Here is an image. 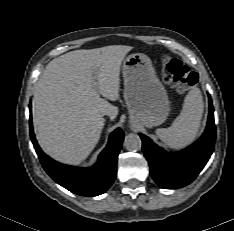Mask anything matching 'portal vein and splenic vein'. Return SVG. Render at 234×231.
Here are the masks:
<instances>
[{
    "instance_id": "obj_1",
    "label": "portal vein and splenic vein",
    "mask_w": 234,
    "mask_h": 231,
    "mask_svg": "<svg viewBox=\"0 0 234 231\" xmlns=\"http://www.w3.org/2000/svg\"><path fill=\"white\" fill-rule=\"evenodd\" d=\"M93 85L96 87L97 83L95 81H93Z\"/></svg>"
}]
</instances>
